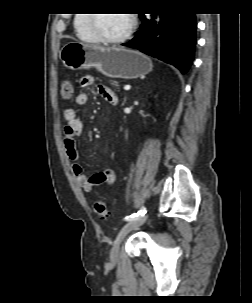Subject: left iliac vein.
I'll return each instance as SVG.
<instances>
[{
  "instance_id": "obj_1",
  "label": "left iliac vein",
  "mask_w": 252,
  "mask_h": 303,
  "mask_svg": "<svg viewBox=\"0 0 252 303\" xmlns=\"http://www.w3.org/2000/svg\"><path fill=\"white\" fill-rule=\"evenodd\" d=\"M147 214H144L142 216H139L129 222H127L120 230L114 244L111 250V260L113 262L117 261L119 257V247L122 242V240L125 238V236L131 232L132 230L137 229L141 225H143L147 220Z\"/></svg>"
}]
</instances>
